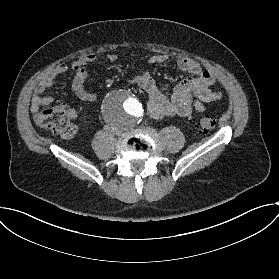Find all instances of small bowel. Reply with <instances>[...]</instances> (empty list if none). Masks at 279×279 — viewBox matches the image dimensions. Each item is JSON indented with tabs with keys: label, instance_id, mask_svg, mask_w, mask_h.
<instances>
[{
	"label": "small bowel",
	"instance_id": "1",
	"mask_svg": "<svg viewBox=\"0 0 279 279\" xmlns=\"http://www.w3.org/2000/svg\"><path fill=\"white\" fill-rule=\"evenodd\" d=\"M108 59L110 62H115L117 56L110 54ZM95 60L96 54L88 52L79 56L70 65L61 63L48 71L35 86L30 111L37 114L42 107L52 104L54 97L45 94V92L57 78L69 72L73 73L71 91L84 101H95L97 94L85 87L88 76L86 66ZM167 60L168 56L166 54H155L150 57L149 63L160 65ZM176 64L178 69L187 73L188 76L176 86L171 96L159 92L155 80L148 72L127 78L129 83L137 84L147 93V112L155 120L189 117L193 111L203 112L206 103L216 101L222 97V91L216 85L215 76L210 71L204 70L199 61L186 56H179ZM71 116L72 119L77 117L74 111L71 112Z\"/></svg>",
	"mask_w": 279,
	"mask_h": 279
}]
</instances>
